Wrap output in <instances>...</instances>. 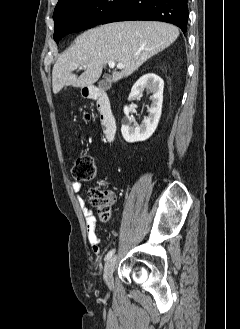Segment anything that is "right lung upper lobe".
Wrapping results in <instances>:
<instances>
[{"mask_svg":"<svg viewBox=\"0 0 240 329\" xmlns=\"http://www.w3.org/2000/svg\"><path fill=\"white\" fill-rule=\"evenodd\" d=\"M68 1H70V0H58V3L56 5L55 9L60 8L62 5H64Z\"/></svg>","mask_w":240,"mask_h":329,"instance_id":"obj_1","label":"right lung upper lobe"}]
</instances>
